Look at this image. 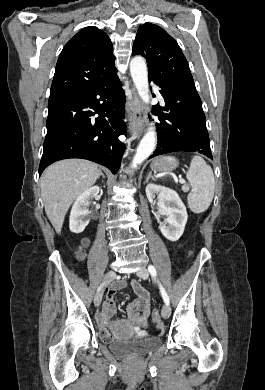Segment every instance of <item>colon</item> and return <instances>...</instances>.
I'll list each match as a JSON object with an SVG mask.
<instances>
[{"instance_id": "5ec220e1", "label": "colon", "mask_w": 265, "mask_h": 390, "mask_svg": "<svg viewBox=\"0 0 265 390\" xmlns=\"http://www.w3.org/2000/svg\"><path fill=\"white\" fill-rule=\"evenodd\" d=\"M78 257L79 258H82L83 257V251L82 250H79L78 251ZM152 319L154 321V323L157 325V326H160L161 325V317H160V313L157 309H154L153 312H152Z\"/></svg>"}]
</instances>
